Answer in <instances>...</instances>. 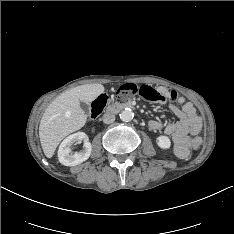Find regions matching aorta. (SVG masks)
Listing matches in <instances>:
<instances>
[{
    "label": "aorta",
    "mask_w": 234,
    "mask_h": 234,
    "mask_svg": "<svg viewBox=\"0 0 234 234\" xmlns=\"http://www.w3.org/2000/svg\"><path fill=\"white\" fill-rule=\"evenodd\" d=\"M134 117V113L131 109L126 108L125 110H123L120 114V119L124 122H129L133 119Z\"/></svg>",
    "instance_id": "aorta-1"
}]
</instances>
